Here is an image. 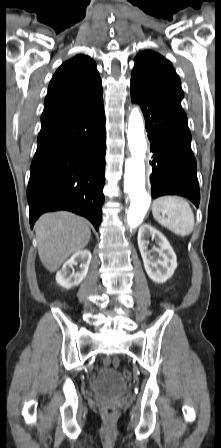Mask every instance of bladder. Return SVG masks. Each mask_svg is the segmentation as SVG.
<instances>
[{
	"instance_id": "bladder-1",
	"label": "bladder",
	"mask_w": 221,
	"mask_h": 448,
	"mask_svg": "<svg viewBox=\"0 0 221 448\" xmlns=\"http://www.w3.org/2000/svg\"><path fill=\"white\" fill-rule=\"evenodd\" d=\"M127 390V382L113 369H103L94 378L90 392L93 396L105 399L122 397Z\"/></svg>"
}]
</instances>
